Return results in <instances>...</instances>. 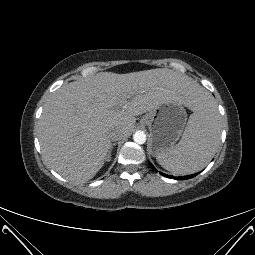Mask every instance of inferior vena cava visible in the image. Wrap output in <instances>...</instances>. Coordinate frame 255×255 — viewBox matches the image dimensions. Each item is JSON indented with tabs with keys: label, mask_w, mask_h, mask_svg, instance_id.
Masks as SVG:
<instances>
[{
	"label": "inferior vena cava",
	"mask_w": 255,
	"mask_h": 255,
	"mask_svg": "<svg viewBox=\"0 0 255 255\" xmlns=\"http://www.w3.org/2000/svg\"><path fill=\"white\" fill-rule=\"evenodd\" d=\"M122 137H123V133H122V131H120V130H113V131H111L110 134H109V139H110L112 142L118 141V140H120Z\"/></svg>",
	"instance_id": "inferior-vena-cava-1"
}]
</instances>
